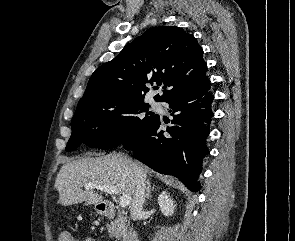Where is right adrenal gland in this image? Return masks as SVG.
Wrapping results in <instances>:
<instances>
[{"instance_id": "right-adrenal-gland-1", "label": "right adrenal gland", "mask_w": 295, "mask_h": 241, "mask_svg": "<svg viewBox=\"0 0 295 241\" xmlns=\"http://www.w3.org/2000/svg\"><path fill=\"white\" fill-rule=\"evenodd\" d=\"M146 184H147V188H146V199H149L150 198L151 191L154 190V186L151 187L150 179H148L146 181Z\"/></svg>"}]
</instances>
